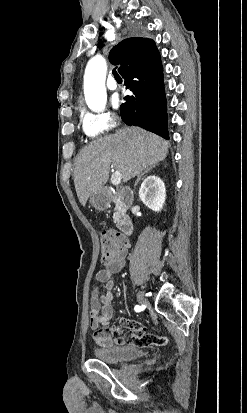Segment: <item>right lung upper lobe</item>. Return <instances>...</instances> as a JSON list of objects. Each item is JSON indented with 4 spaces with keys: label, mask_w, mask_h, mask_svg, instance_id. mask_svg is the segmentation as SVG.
Here are the masks:
<instances>
[{
    "label": "right lung upper lobe",
    "mask_w": 247,
    "mask_h": 413,
    "mask_svg": "<svg viewBox=\"0 0 247 413\" xmlns=\"http://www.w3.org/2000/svg\"><path fill=\"white\" fill-rule=\"evenodd\" d=\"M109 60L114 65H121L119 73L124 78L147 72L161 63L154 41L147 38L123 40L112 48Z\"/></svg>",
    "instance_id": "cb5924a9"
}]
</instances>
